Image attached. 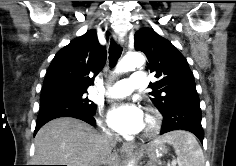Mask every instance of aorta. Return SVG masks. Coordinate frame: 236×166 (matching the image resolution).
Returning a JSON list of instances; mask_svg holds the SVG:
<instances>
[{
	"mask_svg": "<svg viewBox=\"0 0 236 166\" xmlns=\"http://www.w3.org/2000/svg\"><path fill=\"white\" fill-rule=\"evenodd\" d=\"M145 64V58L139 53L126 55L116 67L117 73H123L141 68ZM128 166H133L128 164Z\"/></svg>",
	"mask_w": 236,
	"mask_h": 166,
	"instance_id": "aorta-1",
	"label": "aorta"
}]
</instances>
